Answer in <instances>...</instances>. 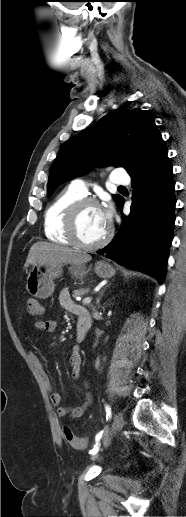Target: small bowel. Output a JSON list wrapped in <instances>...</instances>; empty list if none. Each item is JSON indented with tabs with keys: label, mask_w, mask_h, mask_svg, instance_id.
Segmentation results:
<instances>
[{
	"label": "small bowel",
	"mask_w": 186,
	"mask_h": 517,
	"mask_svg": "<svg viewBox=\"0 0 186 517\" xmlns=\"http://www.w3.org/2000/svg\"><path fill=\"white\" fill-rule=\"evenodd\" d=\"M59 300L61 305L68 311L77 314L80 310L83 309L82 306L76 304L70 296V293L68 290H62L59 296ZM57 323L53 319L48 320H38L34 323V328L38 331H45V332H54L56 330ZM81 340L78 339L76 335V345L73 346L72 352L70 355V363L72 367V378L77 380L80 377L81 373V364H82V357L79 352L78 343ZM29 359L34 364L36 369L38 370L46 388L50 392L51 401L52 403L58 407L57 413L59 417H71V418H78L84 414V412L87 410V408L90 406L92 398L91 394L89 392L86 393L85 401L83 404L75 407L70 406H64L63 401L64 397L62 393L55 391L53 389L52 381L48 374L46 373L43 363L41 359L39 358L38 354L31 351L28 354Z\"/></svg>",
	"instance_id": "c3829d8e"
}]
</instances>
